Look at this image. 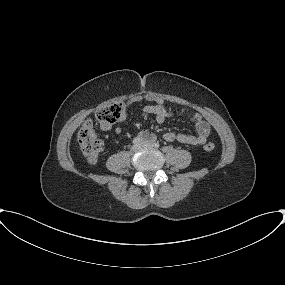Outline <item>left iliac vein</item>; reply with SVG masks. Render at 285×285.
I'll return each mask as SVG.
<instances>
[{"instance_id": "obj_1", "label": "left iliac vein", "mask_w": 285, "mask_h": 285, "mask_svg": "<svg viewBox=\"0 0 285 285\" xmlns=\"http://www.w3.org/2000/svg\"><path fill=\"white\" fill-rule=\"evenodd\" d=\"M142 146L143 147H153L154 145L149 141H143Z\"/></svg>"}]
</instances>
